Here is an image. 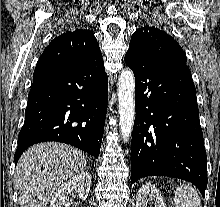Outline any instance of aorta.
<instances>
[{
    "instance_id": "aorta-1",
    "label": "aorta",
    "mask_w": 220,
    "mask_h": 207,
    "mask_svg": "<svg viewBox=\"0 0 220 207\" xmlns=\"http://www.w3.org/2000/svg\"><path fill=\"white\" fill-rule=\"evenodd\" d=\"M135 78L130 69L121 72L118 80L120 134L124 142L131 136L135 120Z\"/></svg>"
}]
</instances>
